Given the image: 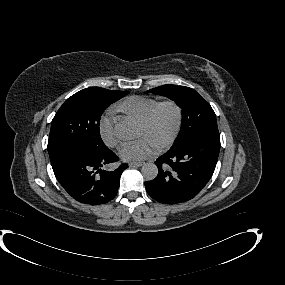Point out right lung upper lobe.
Masks as SVG:
<instances>
[{
    "label": "right lung upper lobe",
    "mask_w": 285,
    "mask_h": 285,
    "mask_svg": "<svg viewBox=\"0 0 285 285\" xmlns=\"http://www.w3.org/2000/svg\"><path fill=\"white\" fill-rule=\"evenodd\" d=\"M114 92H117V93H122V94H126V93H129V91H114Z\"/></svg>",
    "instance_id": "right-lung-upper-lobe-1"
}]
</instances>
